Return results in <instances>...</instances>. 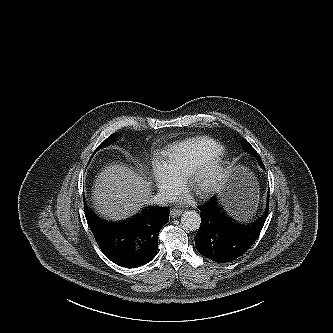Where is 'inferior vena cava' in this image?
<instances>
[{
	"instance_id": "inferior-vena-cava-1",
	"label": "inferior vena cava",
	"mask_w": 333,
	"mask_h": 333,
	"mask_svg": "<svg viewBox=\"0 0 333 333\" xmlns=\"http://www.w3.org/2000/svg\"><path fill=\"white\" fill-rule=\"evenodd\" d=\"M175 195L171 193L170 191H159L152 199V201L156 204L165 206L168 203H171L175 200Z\"/></svg>"
}]
</instances>
